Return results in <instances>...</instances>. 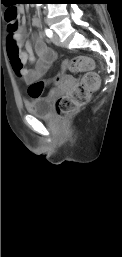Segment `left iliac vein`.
Here are the masks:
<instances>
[{"label":"left iliac vein","mask_w":122,"mask_h":257,"mask_svg":"<svg viewBox=\"0 0 122 257\" xmlns=\"http://www.w3.org/2000/svg\"><path fill=\"white\" fill-rule=\"evenodd\" d=\"M52 42L57 45V46H61L62 43H61V40H60V37L58 36V34L54 33L52 38H51Z\"/></svg>","instance_id":"left-iliac-vein-1"}]
</instances>
